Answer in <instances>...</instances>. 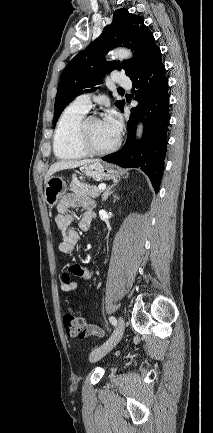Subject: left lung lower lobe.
I'll use <instances>...</instances> for the list:
<instances>
[{"instance_id": "obj_1", "label": "left lung lower lobe", "mask_w": 213, "mask_h": 433, "mask_svg": "<svg viewBox=\"0 0 213 433\" xmlns=\"http://www.w3.org/2000/svg\"><path fill=\"white\" fill-rule=\"evenodd\" d=\"M130 79L133 83L131 92L134 93L138 105L131 109L127 123V141L119 151L103 157L102 160L124 168H140L148 175L153 188L158 192L167 150L169 122L168 81L158 47ZM138 119L144 124L141 141L135 139Z\"/></svg>"}]
</instances>
